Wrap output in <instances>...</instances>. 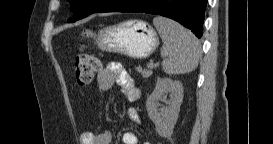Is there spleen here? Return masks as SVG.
<instances>
[{
    "label": "spleen",
    "instance_id": "spleen-1",
    "mask_svg": "<svg viewBox=\"0 0 273 144\" xmlns=\"http://www.w3.org/2000/svg\"><path fill=\"white\" fill-rule=\"evenodd\" d=\"M162 41V66L168 75L193 71L198 66L200 47L193 33L179 23L161 16L153 19Z\"/></svg>",
    "mask_w": 273,
    "mask_h": 144
}]
</instances>
